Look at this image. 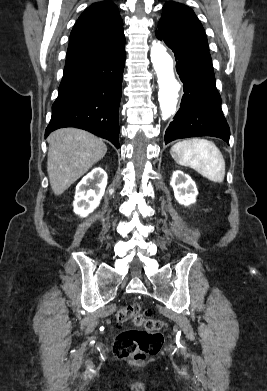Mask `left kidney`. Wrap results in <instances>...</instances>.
Returning a JSON list of instances; mask_svg holds the SVG:
<instances>
[{"label":"left kidney","mask_w":267,"mask_h":391,"mask_svg":"<svg viewBox=\"0 0 267 391\" xmlns=\"http://www.w3.org/2000/svg\"><path fill=\"white\" fill-rule=\"evenodd\" d=\"M170 185L179 204L189 206L195 203L198 191L195 182L189 175L184 174L180 170L174 171Z\"/></svg>","instance_id":"1"}]
</instances>
